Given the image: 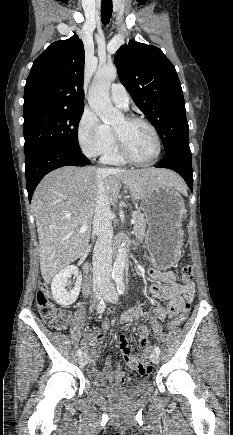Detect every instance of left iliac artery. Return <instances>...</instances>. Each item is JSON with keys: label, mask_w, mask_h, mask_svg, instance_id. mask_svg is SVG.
Instances as JSON below:
<instances>
[{"label": "left iliac artery", "mask_w": 233, "mask_h": 435, "mask_svg": "<svg viewBox=\"0 0 233 435\" xmlns=\"http://www.w3.org/2000/svg\"><path fill=\"white\" fill-rule=\"evenodd\" d=\"M116 285H117V290L119 294H123L125 291V284H124V279L123 277H118L116 279ZM154 351L158 354H160V348L158 346L154 347Z\"/></svg>", "instance_id": "obj_1"}]
</instances>
